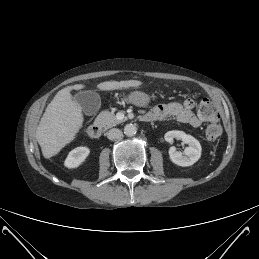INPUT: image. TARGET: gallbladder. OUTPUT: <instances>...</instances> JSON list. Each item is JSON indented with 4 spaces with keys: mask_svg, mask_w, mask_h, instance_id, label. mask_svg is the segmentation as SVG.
<instances>
[{
    "mask_svg": "<svg viewBox=\"0 0 259 259\" xmlns=\"http://www.w3.org/2000/svg\"><path fill=\"white\" fill-rule=\"evenodd\" d=\"M76 101L82 106L87 114H94L100 107V96L98 93L89 91L80 93L75 97Z\"/></svg>",
    "mask_w": 259,
    "mask_h": 259,
    "instance_id": "1",
    "label": "gallbladder"
}]
</instances>
